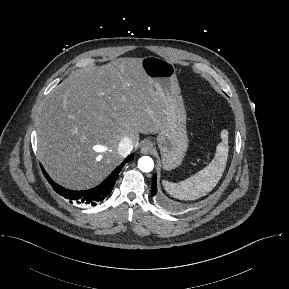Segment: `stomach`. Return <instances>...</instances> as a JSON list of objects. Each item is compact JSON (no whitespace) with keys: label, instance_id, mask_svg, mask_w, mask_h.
I'll list each match as a JSON object with an SVG mask.
<instances>
[{"label":"stomach","instance_id":"0dacf381","mask_svg":"<svg viewBox=\"0 0 289 289\" xmlns=\"http://www.w3.org/2000/svg\"><path fill=\"white\" fill-rule=\"evenodd\" d=\"M141 66L166 105L167 118L158 133L157 144L161 151L163 168L172 170L182 163L188 148L186 111L176 68L172 62L156 56L142 58Z\"/></svg>","mask_w":289,"mask_h":289}]
</instances>
